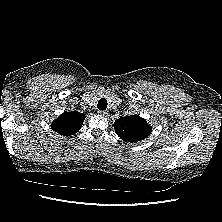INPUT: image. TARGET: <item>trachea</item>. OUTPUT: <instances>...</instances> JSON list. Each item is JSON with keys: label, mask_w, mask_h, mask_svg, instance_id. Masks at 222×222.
I'll return each instance as SVG.
<instances>
[{"label": "trachea", "mask_w": 222, "mask_h": 222, "mask_svg": "<svg viewBox=\"0 0 222 222\" xmlns=\"http://www.w3.org/2000/svg\"><path fill=\"white\" fill-rule=\"evenodd\" d=\"M97 107L100 111H104L107 108V101L102 98L98 101Z\"/></svg>", "instance_id": "trachea-1"}]
</instances>
